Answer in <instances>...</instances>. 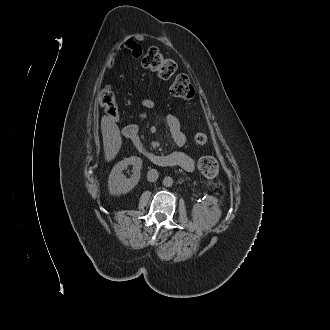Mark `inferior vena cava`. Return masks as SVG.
I'll return each instance as SVG.
<instances>
[{"instance_id": "inferior-vena-cava-1", "label": "inferior vena cava", "mask_w": 330, "mask_h": 330, "mask_svg": "<svg viewBox=\"0 0 330 330\" xmlns=\"http://www.w3.org/2000/svg\"><path fill=\"white\" fill-rule=\"evenodd\" d=\"M158 171L156 169H150L147 173V179L150 182H155L158 179Z\"/></svg>"}]
</instances>
